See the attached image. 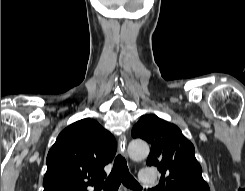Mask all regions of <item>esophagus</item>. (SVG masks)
<instances>
[{
  "label": "esophagus",
  "mask_w": 245,
  "mask_h": 191,
  "mask_svg": "<svg viewBox=\"0 0 245 191\" xmlns=\"http://www.w3.org/2000/svg\"><path fill=\"white\" fill-rule=\"evenodd\" d=\"M118 147H119V152L123 155V156H127V138L124 134H122L119 137V142H118Z\"/></svg>",
  "instance_id": "esophagus-1"
}]
</instances>
